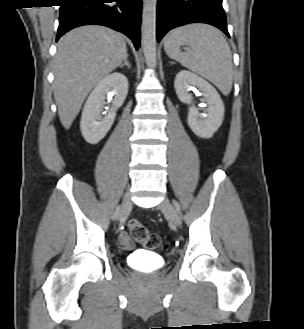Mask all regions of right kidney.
<instances>
[{
  "label": "right kidney",
  "mask_w": 304,
  "mask_h": 329,
  "mask_svg": "<svg viewBox=\"0 0 304 329\" xmlns=\"http://www.w3.org/2000/svg\"><path fill=\"white\" fill-rule=\"evenodd\" d=\"M128 93V79L119 72H114L101 80L88 97L80 122L84 139L90 144H97L111 128L116 111L122 106ZM106 95H114L112 107L104 117L102 107L106 104Z\"/></svg>",
  "instance_id": "ca27d5eb"
}]
</instances>
